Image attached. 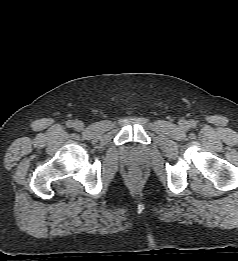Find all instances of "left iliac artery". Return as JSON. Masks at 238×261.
Returning a JSON list of instances; mask_svg holds the SVG:
<instances>
[{
	"label": "left iliac artery",
	"mask_w": 238,
	"mask_h": 261,
	"mask_svg": "<svg viewBox=\"0 0 238 261\" xmlns=\"http://www.w3.org/2000/svg\"><path fill=\"white\" fill-rule=\"evenodd\" d=\"M190 126H191V127H196V122H195V121H191V122H190Z\"/></svg>",
	"instance_id": "left-iliac-artery-1"
}]
</instances>
